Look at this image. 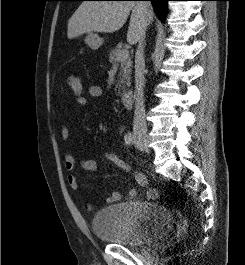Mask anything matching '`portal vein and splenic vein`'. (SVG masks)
Listing matches in <instances>:
<instances>
[{
  "label": "portal vein and splenic vein",
  "mask_w": 245,
  "mask_h": 265,
  "mask_svg": "<svg viewBox=\"0 0 245 265\" xmlns=\"http://www.w3.org/2000/svg\"><path fill=\"white\" fill-rule=\"evenodd\" d=\"M129 56V51L127 49H124L119 55L118 60L126 59Z\"/></svg>",
  "instance_id": "18ae733b"
}]
</instances>
